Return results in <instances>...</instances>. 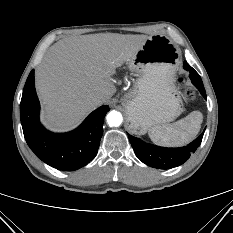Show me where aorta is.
<instances>
[{"label": "aorta", "mask_w": 233, "mask_h": 233, "mask_svg": "<svg viewBox=\"0 0 233 233\" xmlns=\"http://www.w3.org/2000/svg\"><path fill=\"white\" fill-rule=\"evenodd\" d=\"M106 118L109 126L112 127L120 126L123 121L122 114L115 110L109 112Z\"/></svg>", "instance_id": "obj_1"}]
</instances>
